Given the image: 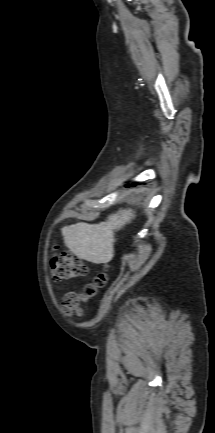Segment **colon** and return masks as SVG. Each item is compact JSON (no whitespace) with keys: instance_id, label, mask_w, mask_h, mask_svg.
I'll use <instances>...</instances> for the list:
<instances>
[{"instance_id":"1","label":"colon","mask_w":215,"mask_h":433,"mask_svg":"<svg viewBox=\"0 0 215 433\" xmlns=\"http://www.w3.org/2000/svg\"><path fill=\"white\" fill-rule=\"evenodd\" d=\"M50 268L52 276L59 280L80 278L89 272L88 266L81 259L68 252H56L51 257ZM106 280V274L99 273L82 293H68L63 300L64 311L67 314H81L80 303L93 297L97 289L105 285Z\"/></svg>"}]
</instances>
